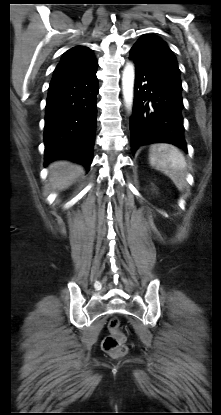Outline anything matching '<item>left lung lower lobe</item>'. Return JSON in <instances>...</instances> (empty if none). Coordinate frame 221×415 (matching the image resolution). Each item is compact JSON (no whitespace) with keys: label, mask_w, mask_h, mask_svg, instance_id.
Instances as JSON below:
<instances>
[{"label":"left lung lower lobe","mask_w":221,"mask_h":415,"mask_svg":"<svg viewBox=\"0 0 221 415\" xmlns=\"http://www.w3.org/2000/svg\"><path fill=\"white\" fill-rule=\"evenodd\" d=\"M135 64L131 149L140 145L170 143L187 151L183 126L182 86L160 73Z\"/></svg>","instance_id":"0a47b994"}]
</instances>
